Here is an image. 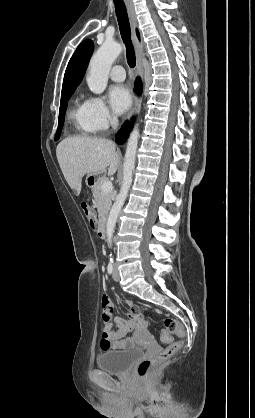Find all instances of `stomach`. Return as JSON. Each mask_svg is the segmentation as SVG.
Instances as JSON below:
<instances>
[{
    "mask_svg": "<svg viewBox=\"0 0 255 418\" xmlns=\"http://www.w3.org/2000/svg\"><path fill=\"white\" fill-rule=\"evenodd\" d=\"M98 183L97 175L96 174H88L86 177V184L90 188H94Z\"/></svg>",
    "mask_w": 255,
    "mask_h": 418,
    "instance_id": "0dacf381",
    "label": "stomach"
}]
</instances>
